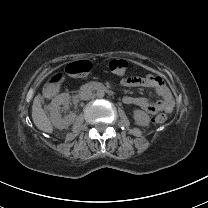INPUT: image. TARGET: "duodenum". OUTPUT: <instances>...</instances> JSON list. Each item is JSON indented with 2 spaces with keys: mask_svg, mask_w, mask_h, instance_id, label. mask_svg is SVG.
I'll list each match as a JSON object with an SVG mask.
<instances>
[{
  "mask_svg": "<svg viewBox=\"0 0 208 208\" xmlns=\"http://www.w3.org/2000/svg\"><path fill=\"white\" fill-rule=\"evenodd\" d=\"M82 90L83 91H87V90H99V91H105L107 93H112V91L110 89H108L106 86H104L101 83L98 82H89L86 83L82 86Z\"/></svg>",
  "mask_w": 208,
  "mask_h": 208,
  "instance_id": "duodenum-1",
  "label": "duodenum"
}]
</instances>
